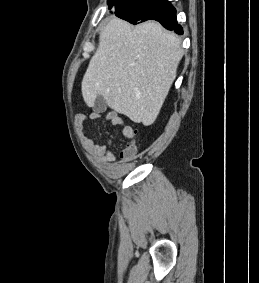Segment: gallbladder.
Here are the masks:
<instances>
[{"label":"gallbladder","mask_w":259,"mask_h":283,"mask_svg":"<svg viewBox=\"0 0 259 283\" xmlns=\"http://www.w3.org/2000/svg\"><path fill=\"white\" fill-rule=\"evenodd\" d=\"M107 109V103L106 100L102 96H97L94 105L93 110L97 113H103Z\"/></svg>","instance_id":"obj_1"}]
</instances>
